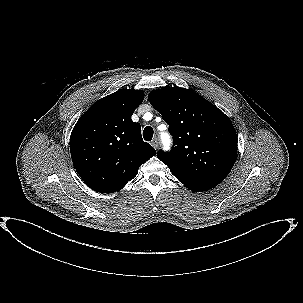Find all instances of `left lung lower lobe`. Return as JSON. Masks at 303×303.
I'll list each match as a JSON object with an SVG mask.
<instances>
[{"label": "left lung lower lobe", "mask_w": 303, "mask_h": 303, "mask_svg": "<svg viewBox=\"0 0 303 303\" xmlns=\"http://www.w3.org/2000/svg\"><path fill=\"white\" fill-rule=\"evenodd\" d=\"M188 189L193 191H206L214 188L221 183L225 178L213 177L204 179H187L177 177Z\"/></svg>", "instance_id": "obj_1"}]
</instances>
